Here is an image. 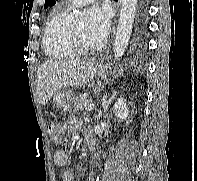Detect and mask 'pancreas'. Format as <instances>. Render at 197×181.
Instances as JSON below:
<instances>
[{
	"mask_svg": "<svg viewBox=\"0 0 197 181\" xmlns=\"http://www.w3.org/2000/svg\"><path fill=\"white\" fill-rule=\"evenodd\" d=\"M92 100L89 99L88 94H81L74 98V108L75 110L83 109L86 105L90 104Z\"/></svg>",
	"mask_w": 197,
	"mask_h": 181,
	"instance_id": "obj_1",
	"label": "pancreas"
}]
</instances>
